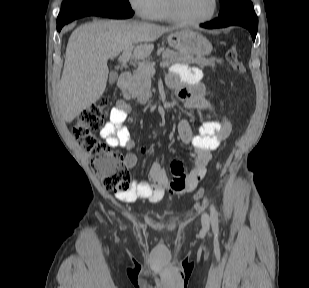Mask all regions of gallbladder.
Listing matches in <instances>:
<instances>
[{"label": "gallbladder", "instance_id": "obj_1", "mask_svg": "<svg viewBox=\"0 0 309 288\" xmlns=\"http://www.w3.org/2000/svg\"><path fill=\"white\" fill-rule=\"evenodd\" d=\"M118 74L116 72H111L110 73V78L109 81L111 84H113L117 80Z\"/></svg>", "mask_w": 309, "mask_h": 288}]
</instances>
